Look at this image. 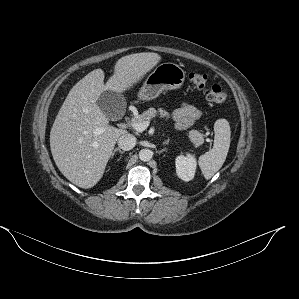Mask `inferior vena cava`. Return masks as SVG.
<instances>
[{"label":"inferior vena cava","mask_w":299,"mask_h":299,"mask_svg":"<svg viewBox=\"0 0 299 299\" xmlns=\"http://www.w3.org/2000/svg\"><path fill=\"white\" fill-rule=\"evenodd\" d=\"M136 137L130 133H125L118 138V146L124 151L131 150L136 145Z\"/></svg>","instance_id":"602c4592"}]
</instances>
